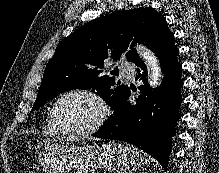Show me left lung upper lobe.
Returning <instances> with one entry per match:
<instances>
[{
  "instance_id": "1",
  "label": "left lung upper lobe",
  "mask_w": 219,
  "mask_h": 173,
  "mask_svg": "<svg viewBox=\"0 0 219 173\" xmlns=\"http://www.w3.org/2000/svg\"><path fill=\"white\" fill-rule=\"evenodd\" d=\"M171 33L164 17L151 8L118 11L93 20L58 44L45 68L32 111L62 92L90 88L114 110L129 87L103 75L104 60L124 55L135 62L139 59L135 43L153 50Z\"/></svg>"
}]
</instances>
